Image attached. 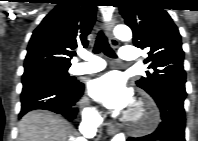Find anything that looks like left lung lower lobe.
<instances>
[{"instance_id":"obj_1","label":"left lung lower lobe","mask_w":198,"mask_h":141,"mask_svg":"<svg viewBox=\"0 0 198 141\" xmlns=\"http://www.w3.org/2000/svg\"><path fill=\"white\" fill-rule=\"evenodd\" d=\"M185 97L186 92L177 89L160 91L153 97L161 112L159 127L152 134L128 141H185Z\"/></svg>"}]
</instances>
